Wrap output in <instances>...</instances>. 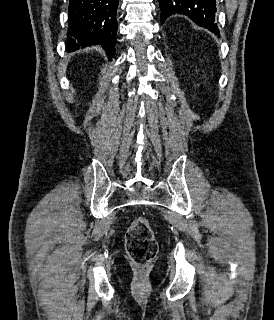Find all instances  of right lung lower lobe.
<instances>
[{"mask_svg": "<svg viewBox=\"0 0 274 320\" xmlns=\"http://www.w3.org/2000/svg\"><path fill=\"white\" fill-rule=\"evenodd\" d=\"M119 0H70L67 51L101 44L109 58L115 54Z\"/></svg>", "mask_w": 274, "mask_h": 320, "instance_id": "right-lung-lower-lobe-1", "label": "right lung lower lobe"}]
</instances>
